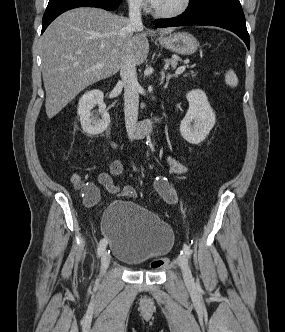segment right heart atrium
Instances as JSON below:
<instances>
[{
  "instance_id": "d8ad5b80",
  "label": "right heart atrium",
  "mask_w": 285,
  "mask_h": 332,
  "mask_svg": "<svg viewBox=\"0 0 285 332\" xmlns=\"http://www.w3.org/2000/svg\"><path fill=\"white\" fill-rule=\"evenodd\" d=\"M129 6L135 10H141L145 7V0H127Z\"/></svg>"
}]
</instances>
